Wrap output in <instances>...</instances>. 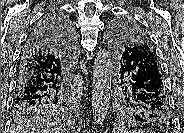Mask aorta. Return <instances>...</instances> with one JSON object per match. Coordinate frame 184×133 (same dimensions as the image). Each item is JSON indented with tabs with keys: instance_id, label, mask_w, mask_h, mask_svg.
Segmentation results:
<instances>
[{
	"instance_id": "aorta-1",
	"label": "aorta",
	"mask_w": 184,
	"mask_h": 133,
	"mask_svg": "<svg viewBox=\"0 0 184 133\" xmlns=\"http://www.w3.org/2000/svg\"><path fill=\"white\" fill-rule=\"evenodd\" d=\"M113 69L110 51L100 50L94 60L92 84V115L96 124H102L108 113Z\"/></svg>"
}]
</instances>
